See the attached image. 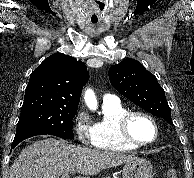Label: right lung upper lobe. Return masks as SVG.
I'll return each mask as SVG.
<instances>
[{"label": "right lung upper lobe", "instance_id": "cb5924a9", "mask_svg": "<svg viewBox=\"0 0 194 178\" xmlns=\"http://www.w3.org/2000/svg\"><path fill=\"white\" fill-rule=\"evenodd\" d=\"M89 79L86 65L63 53L46 58L30 76L24 100L44 98L77 106Z\"/></svg>", "mask_w": 194, "mask_h": 178}]
</instances>
